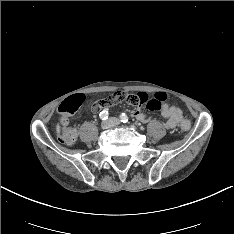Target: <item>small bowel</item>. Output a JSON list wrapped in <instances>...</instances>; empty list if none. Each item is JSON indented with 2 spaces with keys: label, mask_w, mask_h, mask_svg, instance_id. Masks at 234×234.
<instances>
[{
  "label": "small bowel",
  "mask_w": 234,
  "mask_h": 234,
  "mask_svg": "<svg viewBox=\"0 0 234 234\" xmlns=\"http://www.w3.org/2000/svg\"><path fill=\"white\" fill-rule=\"evenodd\" d=\"M111 104L112 103L108 100H103V105L101 109H105ZM159 110L161 111L162 116L166 118V128L172 129L176 127L179 123L183 122V113L179 107L168 104H162ZM132 114L140 122L144 123L150 120V117L147 116L145 111L141 108L135 109Z\"/></svg>",
  "instance_id": "c3829d8e"
}]
</instances>
